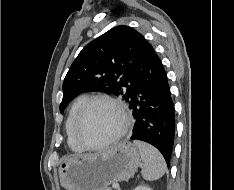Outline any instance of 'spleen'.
Masks as SVG:
<instances>
[{
    "mask_svg": "<svg viewBox=\"0 0 234 190\" xmlns=\"http://www.w3.org/2000/svg\"><path fill=\"white\" fill-rule=\"evenodd\" d=\"M134 145L139 149L141 159L144 162L141 171L143 178L148 181L160 179L167 169L162 154L152 145L139 140H134Z\"/></svg>",
    "mask_w": 234,
    "mask_h": 190,
    "instance_id": "1",
    "label": "spleen"
}]
</instances>
